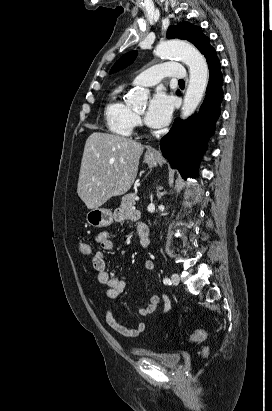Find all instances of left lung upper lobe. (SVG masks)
<instances>
[{
	"label": "left lung upper lobe",
	"mask_w": 272,
	"mask_h": 411,
	"mask_svg": "<svg viewBox=\"0 0 272 411\" xmlns=\"http://www.w3.org/2000/svg\"><path fill=\"white\" fill-rule=\"evenodd\" d=\"M167 38L169 39H185L193 43L197 49L206 56L213 49L210 45V40L206 37L200 27L194 26L188 22H182L177 25H172L167 30ZM137 56V52L132 51L122 56L112 67L110 73L119 71L130 65Z\"/></svg>",
	"instance_id": "1"
}]
</instances>
